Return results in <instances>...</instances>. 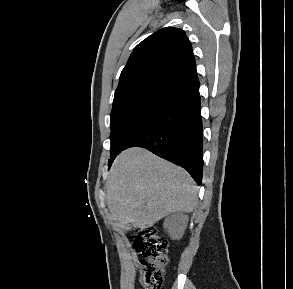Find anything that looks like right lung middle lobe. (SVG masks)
<instances>
[{
  "label": "right lung middle lobe",
  "instance_id": "dd1d6c3e",
  "mask_svg": "<svg viewBox=\"0 0 293 289\" xmlns=\"http://www.w3.org/2000/svg\"><path fill=\"white\" fill-rule=\"evenodd\" d=\"M174 106L171 101L158 96L130 97L113 104L110 119L111 157Z\"/></svg>",
  "mask_w": 293,
  "mask_h": 289
}]
</instances>
